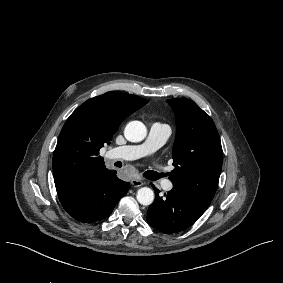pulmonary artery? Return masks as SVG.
Wrapping results in <instances>:
<instances>
[{"label": "pulmonary artery", "mask_w": 283, "mask_h": 283, "mask_svg": "<svg viewBox=\"0 0 283 283\" xmlns=\"http://www.w3.org/2000/svg\"><path fill=\"white\" fill-rule=\"evenodd\" d=\"M169 136L170 130L166 126L152 124L143 144L114 147L109 152L117 159L139 160L141 157H145L160 148L168 140ZM158 186L166 191L173 189V183L167 177L160 178Z\"/></svg>", "instance_id": "obj_1"}]
</instances>
